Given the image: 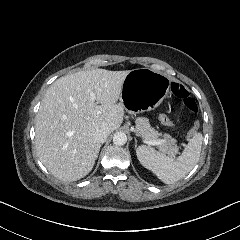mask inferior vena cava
Instances as JSON below:
<instances>
[{"label":"inferior vena cava","instance_id":"obj_1","mask_svg":"<svg viewBox=\"0 0 240 240\" xmlns=\"http://www.w3.org/2000/svg\"><path fill=\"white\" fill-rule=\"evenodd\" d=\"M109 135H110L109 130L99 129L97 131L96 140L100 143H104Z\"/></svg>","mask_w":240,"mask_h":240}]
</instances>
